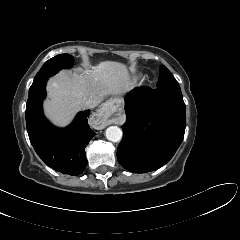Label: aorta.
<instances>
[{"label": "aorta", "instance_id": "obj_1", "mask_svg": "<svg viewBox=\"0 0 240 240\" xmlns=\"http://www.w3.org/2000/svg\"><path fill=\"white\" fill-rule=\"evenodd\" d=\"M105 136L111 142H119L122 138V130L117 126H110L106 129Z\"/></svg>", "mask_w": 240, "mask_h": 240}]
</instances>
